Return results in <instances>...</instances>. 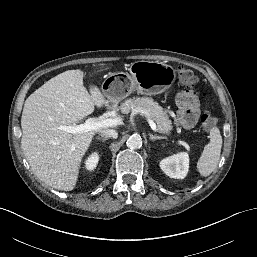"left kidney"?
I'll return each instance as SVG.
<instances>
[{"label":"left kidney","mask_w":257,"mask_h":257,"mask_svg":"<svg viewBox=\"0 0 257 257\" xmlns=\"http://www.w3.org/2000/svg\"><path fill=\"white\" fill-rule=\"evenodd\" d=\"M160 168L170 178L183 179L188 173L189 156L183 152L167 157L161 160Z\"/></svg>","instance_id":"1"}]
</instances>
